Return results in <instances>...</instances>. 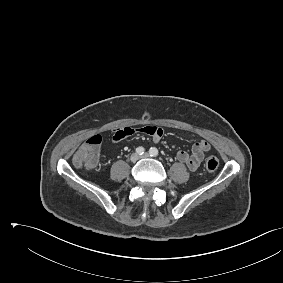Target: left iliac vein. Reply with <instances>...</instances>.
Returning <instances> with one entry per match:
<instances>
[{
	"instance_id": "4c4485c4",
	"label": "left iliac vein",
	"mask_w": 283,
	"mask_h": 283,
	"mask_svg": "<svg viewBox=\"0 0 283 283\" xmlns=\"http://www.w3.org/2000/svg\"><path fill=\"white\" fill-rule=\"evenodd\" d=\"M140 157H141V158H147V157H149V154H148V153H144V154H142Z\"/></svg>"
}]
</instances>
